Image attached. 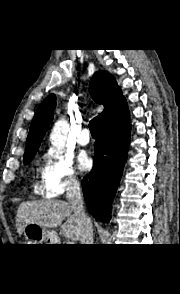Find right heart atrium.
Here are the masks:
<instances>
[{
	"mask_svg": "<svg viewBox=\"0 0 180 294\" xmlns=\"http://www.w3.org/2000/svg\"><path fill=\"white\" fill-rule=\"evenodd\" d=\"M40 175L41 191L49 198L60 197L80 185L71 157L62 151L49 150L44 154Z\"/></svg>",
	"mask_w": 180,
	"mask_h": 294,
	"instance_id": "right-heart-atrium-1",
	"label": "right heart atrium"
}]
</instances>
